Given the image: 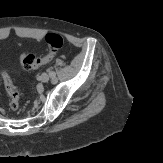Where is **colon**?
Here are the masks:
<instances>
[{"label": "colon", "mask_w": 163, "mask_h": 163, "mask_svg": "<svg viewBox=\"0 0 163 163\" xmlns=\"http://www.w3.org/2000/svg\"><path fill=\"white\" fill-rule=\"evenodd\" d=\"M45 42L48 51L43 56H36L30 53H24L20 56V62L24 69L32 70L41 64L50 60L53 55L62 48L64 39L62 35L58 33H49L45 38ZM4 83L6 92L9 98V105L12 110H16L19 107V91L14 80L7 74H4Z\"/></svg>", "instance_id": "5ec220e1"}]
</instances>
